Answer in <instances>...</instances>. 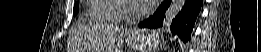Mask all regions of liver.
<instances>
[{
    "label": "liver",
    "instance_id": "1",
    "mask_svg": "<svg viewBox=\"0 0 261 52\" xmlns=\"http://www.w3.org/2000/svg\"><path fill=\"white\" fill-rule=\"evenodd\" d=\"M91 32L98 35L99 40L101 38V42L99 41V44L96 47L97 50L101 51L114 47L115 44L120 45L123 43L125 35L123 29L108 24H96L92 27Z\"/></svg>",
    "mask_w": 261,
    "mask_h": 52
}]
</instances>
